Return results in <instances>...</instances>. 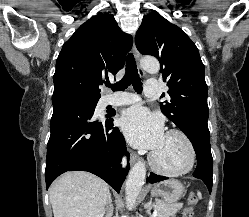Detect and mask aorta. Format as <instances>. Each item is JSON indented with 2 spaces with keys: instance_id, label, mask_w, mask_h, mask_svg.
<instances>
[{
  "instance_id": "obj_1",
  "label": "aorta",
  "mask_w": 249,
  "mask_h": 217,
  "mask_svg": "<svg viewBox=\"0 0 249 217\" xmlns=\"http://www.w3.org/2000/svg\"><path fill=\"white\" fill-rule=\"evenodd\" d=\"M141 66L150 73L159 71V62L153 57L141 59ZM146 177V166L142 160H139L130 170L125 186L126 203L128 209H132L136 199L141 191Z\"/></svg>"
}]
</instances>
